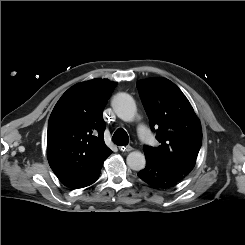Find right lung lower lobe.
<instances>
[{
	"label": "right lung lower lobe",
	"mask_w": 245,
	"mask_h": 245,
	"mask_svg": "<svg viewBox=\"0 0 245 245\" xmlns=\"http://www.w3.org/2000/svg\"><path fill=\"white\" fill-rule=\"evenodd\" d=\"M100 172H101V169L98 170L88 181H86L85 183L81 184L77 188H83V187H86V186H89V185L93 184L99 178Z\"/></svg>",
	"instance_id": "98d812e1"
}]
</instances>
